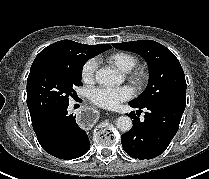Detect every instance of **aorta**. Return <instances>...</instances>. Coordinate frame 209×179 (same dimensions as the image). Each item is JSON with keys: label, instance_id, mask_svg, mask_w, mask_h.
I'll return each mask as SVG.
<instances>
[{"label": "aorta", "instance_id": "aorta-1", "mask_svg": "<svg viewBox=\"0 0 209 179\" xmlns=\"http://www.w3.org/2000/svg\"><path fill=\"white\" fill-rule=\"evenodd\" d=\"M96 81L100 85L113 86L119 84L122 78L115 70L110 68H101L95 74ZM132 120L128 116H120L116 121V126L120 131L127 132L132 128Z\"/></svg>", "mask_w": 209, "mask_h": 179}]
</instances>
